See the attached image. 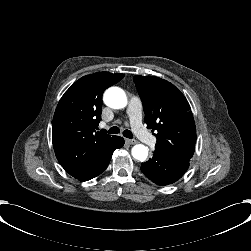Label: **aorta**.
Here are the masks:
<instances>
[{
    "label": "aorta",
    "mask_w": 251,
    "mask_h": 251,
    "mask_svg": "<svg viewBox=\"0 0 251 251\" xmlns=\"http://www.w3.org/2000/svg\"><path fill=\"white\" fill-rule=\"evenodd\" d=\"M104 101L107 106L113 109H124L128 106V98L124 90L118 87H111L104 94ZM149 150L143 144H135L131 149V154L138 161H145Z\"/></svg>",
    "instance_id": "762f6f07"
}]
</instances>
